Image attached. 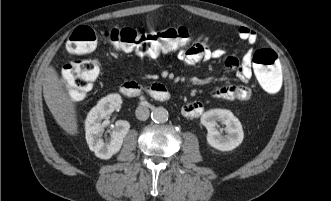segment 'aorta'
I'll list each match as a JSON object with an SVG mask.
<instances>
[{
    "mask_svg": "<svg viewBox=\"0 0 331 201\" xmlns=\"http://www.w3.org/2000/svg\"><path fill=\"white\" fill-rule=\"evenodd\" d=\"M151 118L156 123H163L168 120V111L163 107H156L152 110Z\"/></svg>",
    "mask_w": 331,
    "mask_h": 201,
    "instance_id": "obj_1",
    "label": "aorta"
}]
</instances>
